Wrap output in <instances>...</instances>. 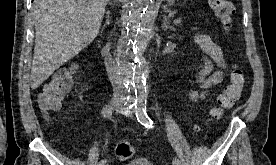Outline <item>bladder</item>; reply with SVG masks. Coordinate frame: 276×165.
I'll return each instance as SVG.
<instances>
[{
  "mask_svg": "<svg viewBox=\"0 0 276 165\" xmlns=\"http://www.w3.org/2000/svg\"><path fill=\"white\" fill-rule=\"evenodd\" d=\"M125 165H153V164L146 159L136 158L127 162Z\"/></svg>",
  "mask_w": 276,
  "mask_h": 165,
  "instance_id": "31cf9c89",
  "label": "bladder"
}]
</instances>
